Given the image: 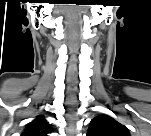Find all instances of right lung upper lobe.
I'll return each mask as SVG.
<instances>
[{
    "instance_id": "cb5924a9",
    "label": "right lung upper lobe",
    "mask_w": 151,
    "mask_h": 136,
    "mask_svg": "<svg viewBox=\"0 0 151 136\" xmlns=\"http://www.w3.org/2000/svg\"><path fill=\"white\" fill-rule=\"evenodd\" d=\"M52 132L51 125L44 116H38L28 123L22 136H48Z\"/></svg>"
}]
</instances>
